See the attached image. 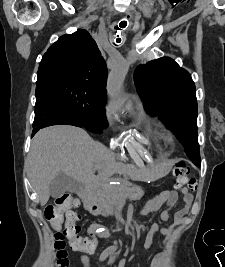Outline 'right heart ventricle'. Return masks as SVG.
<instances>
[{"label": "right heart ventricle", "instance_id": "1", "mask_svg": "<svg viewBox=\"0 0 225 267\" xmlns=\"http://www.w3.org/2000/svg\"><path fill=\"white\" fill-rule=\"evenodd\" d=\"M135 120L140 126H143L147 122V114L142 106V104L138 101H135L134 108L132 109ZM150 131L157 138H161V133L156 128H151Z\"/></svg>", "mask_w": 225, "mask_h": 267}]
</instances>
